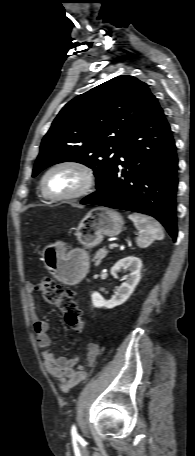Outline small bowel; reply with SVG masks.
<instances>
[{
    "mask_svg": "<svg viewBox=\"0 0 195 456\" xmlns=\"http://www.w3.org/2000/svg\"><path fill=\"white\" fill-rule=\"evenodd\" d=\"M28 308L33 322V329L38 346L42 350V357L46 371L50 376L57 380L58 387L63 393H68L70 389L83 382L87 377L86 369L91 367L100 353V346L97 343H90L86 348V353L80 364V356L66 358L58 356L48 350L51 345L49 335V325L40 320L35 313V301L33 297V285L27 284L26 287Z\"/></svg>",
    "mask_w": 195,
    "mask_h": 456,
    "instance_id": "c3829d8e",
    "label": "small bowel"
}]
</instances>
